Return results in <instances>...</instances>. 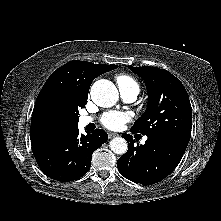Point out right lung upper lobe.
I'll return each mask as SVG.
<instances>
[{"instance_id": "cb5924a9", "label": "right lung upper lobe", "mask_w": 221, "mask_h": 221, "mask_svg": "<svg viewBox=\"0 0 221 221\" xmlns=\"http://www.w3.org/2000/svg\"><path fill=\"white\" fill-rule=\"evenodd\" d=\"M117 65L70 61L54 71L42 87L31 119L32 147L77 127L75 113L84 108L92 81ZM79 119V117H78Z\"/></svg>"}]
</instances>
